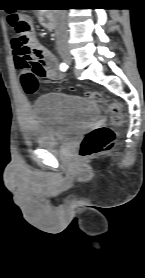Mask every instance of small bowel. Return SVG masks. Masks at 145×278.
<instances>
[{
  "label": "small bowel",
  "instance_id": "small-bowel-1",
  "mask_svg": "<svg viewBox=\"0 0 145 278\" xmlns=\"http://www.w3.org/2000/svg\"><path fill=\"white\" fill-rule=\"evenodd\" d=\"M20 17L30 21L27 15ZM12 54L19 71L20 83L26 94H28L26 87L30 83V78L35 74L48 81H54L62 76V70L55 56L35 39H32L29 47L25 48L15 34L12 38Z\"/></svg>",
  "mask_w": 145,
  "mask_h": 278
}]
</instances>
